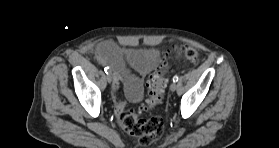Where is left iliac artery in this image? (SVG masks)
<instances>
[{
  "instance_id": "1",
  "label": "left iliac artery",
  "mask_w": 279,
  "mask_h": 148,
  "mask_svg": "<svg viewBox=\"0 0 279 148\" xmlns=\"http://www.w3.org/2000/svg\"><path fill=\"white\" fill-rule=\"evenodd\" d=\"M178 80H179V77H178L177 75H175V76L173 77V82H178Z\"/></svg>"
}]
</instances>
